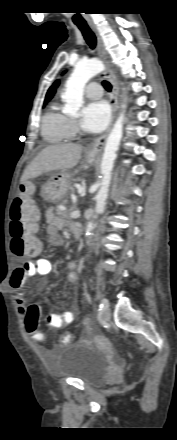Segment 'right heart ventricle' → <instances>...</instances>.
Returning a JSON list of instances; mask_svg holds the SVG:
<instances>
[{
	"mask_svg": "<svg viewBox=\"0 0 177 440\" xmlns=\"http://www.w3.org/2000/svg\"><path fill=\"white\" fill-rule=\"evenodd\" d=\"M41 135L50 144L63 143L70 138L68 118L57 102H52L42 117Z\"/></svg>",
	"mask_w": 177,
	"mask_h": 440,
	"instance_id": "right-heart-ventricle-1",
	"label": "right heart ventricle"
}]
</instances>
